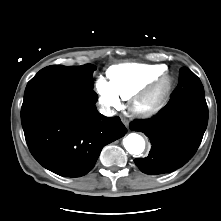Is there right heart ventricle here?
<instances>
[{
  "instance_id": "obj_1",
  "label": "right heart ventricle",
  "mask_w": 221,
  "mask_h": 221,
  "mask_svg": "<svg viewBox=\"0 0 221 221\" xmlns=\"http://www.w3.org/2000/svg\"><path fill=\"white\" fill-rule=\"evenodd\" d=\"M166 71L167 67L161 64H121L110 67L106 74L119 98L129 100Z\"/></svg>"
}]
</instances>
